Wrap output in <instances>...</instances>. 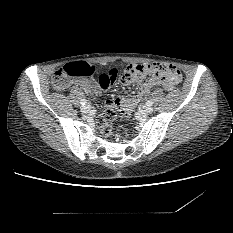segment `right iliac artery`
<instances>
[{"label": "right iliac artery", "mask_w": 233, "mask_h": 233, "mask_svg": "<svg viewBox=\"0 0 233 233\" xmlns=\"http://www.w3.org/2000/svg\"><path fill=\"white\" fill-rule=\"evenodd\" d=\"M86 103H87V101H86L85 99H81V101H80V104H81V105L84 106Z\"/></svg>", "instance_id": "obj_1"}]
</instances>
